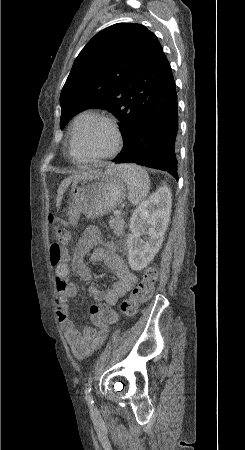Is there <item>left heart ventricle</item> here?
Returning a JSON list of instances; mask_svg holds the SVG:
<instances>
[{"mask_svg":"<svg viewBox=\"0 0 245 450\" xmlns=\"http://www.w3.org/2000/svg\"><path fill=\"white\" fill-rule=\"evenodd\" d=\"M114 145V134L104 123L82 126L76 138V150L85 156L108 153Z\"/></svg>","mask_w":245,"mask_h":450,"instance_id":"left-heart-ventricle-1","label":"left heart ventricle"}]
</instances>
